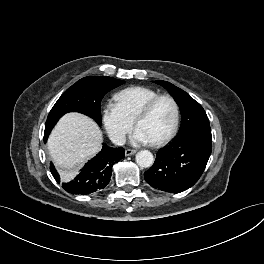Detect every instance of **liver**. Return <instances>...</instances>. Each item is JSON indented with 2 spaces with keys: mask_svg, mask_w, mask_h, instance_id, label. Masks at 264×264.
Returning a JSON list of instances; mask_svg holds the SVG:
<instances>
[{
  "mask_svg": "<svg viewBox=\"0 0 264 264\" xmlns=\"http://www.w3.org/2000/svg\"><path fill=\"white\" fill-rule=\"evenodd\" d=\"M102 132L97 123L80 113L64 115L53 129L47 148L64 180L101 149Z\"/></svg>",
  "mask_w": 264,
  "mask_h": 264,
  "instance_id": "obj_1",
  "label": "liver"
}]
</instances>
